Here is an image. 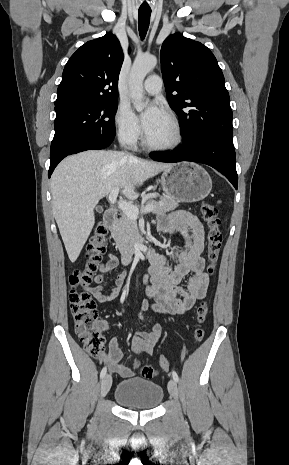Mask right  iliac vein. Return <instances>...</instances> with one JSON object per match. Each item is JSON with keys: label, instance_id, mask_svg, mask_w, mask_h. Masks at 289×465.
<instances>
[{"label": "right iliac vein", "instance_id": "63e3f726", "mask_svg": "<svg viewBox=\"0 0 289 465\" xmlns=\"http://www.w3.org/2000/svg\"><path fill=\"white\" fill-rule=\"evenodd\" d=\"M112 385V377L111 375L107 374L104 376L102 382H101V396L104 397L107 395L109 392L110 388Z\"/></svg>", "mask_w": 289, "mask_h": 465}]
</instances>
